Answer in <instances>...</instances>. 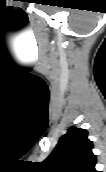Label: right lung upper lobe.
I'll return each instance as SVG.
<instances>
[{
  "mask_svg": "<svg viewBox=\"0 0 106 172\" xmlns=\"http://www.w3.org/2000/svg\"><path fill=\"white\" fill-rule=\"evenodd\" d=\"M85 129L70 127L53 152L41 163L46 172H97L93 143Z\"/></svg>",
  "mask_w": 106,
  "mask_h": 172,
  "instance_id": "right-lung-upper-lobe-1",
  "label": "right lung upper lobe"
}]
</instances>
